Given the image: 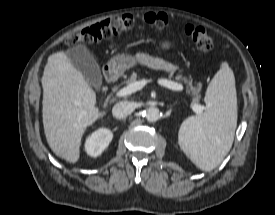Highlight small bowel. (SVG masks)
<instances>
[{"instance_id": "1", "label": "small bowel", "mask_w": 275, "mask_h": 215, "mask_svg": "<svg viewBox=\"0 0 275 215\" xmlns=\"http://www.w3.org/2000/svg\"><path fill=\"white\" fill-rule=\"evenodd\" d=\"M159 68L162 69V70H164L167 73H173V72L176 71V66H174V65H172L170 63H166V62L161 63L159 65Z\"/></svg>"}]
</instances>
